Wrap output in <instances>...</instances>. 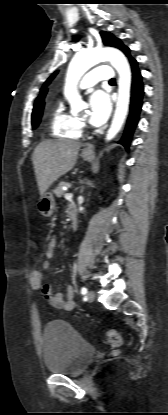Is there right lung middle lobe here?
Here are the masks:
<instances>
[{"mask_svg": "<svg viewBox=\"0 0 168 415\" xmlns=\"http://www.w3.org/2000/svg\"><path fill=\"white\" fill-rule=\"evenodd\" d=\"M42 111H43V109H41L37 112H34L32 114V125H33L34 128L36 126H38V124L40 123V120H41V117H42Z\"/></svg>", "mask_w": 168, "mask_h": 415, "instance_id": "1", "label": "right lung middle lobe"}]
</instances>
